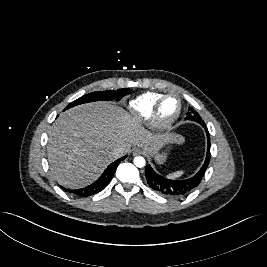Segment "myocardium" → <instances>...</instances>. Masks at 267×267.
<instances>
[{
	"instance_id": "1",
	"label": "myocardium",
	"mask_w": 267,
	"mask_h": 267,
	"mask_svg": "<svg viewBox=\"0 0 267 267\" xmlns=\"http://www.w3.org/2000/svg\"><path fill=\"white\" fill-rule=\"evenodd\" d=\"M169 98H175L178 101V105H179L178 110H177V113L174 115V117H172L170 120L163 121L159 116V111H160L162 104ZM182 108H183L182 100L178 95L173 94V93L162 95L155 102L152 108L151 115H150L151 126L158 131L169 130L180 118L181 113H182Z\"/></svg>"
}]
</instances>
